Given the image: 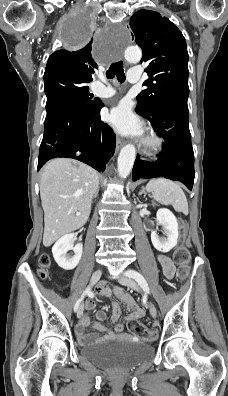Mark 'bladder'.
I'll return each instance as SVG.
<instances>
[{"instance_id": "1", "label": "bladder", "mask_w": 228, "mask_h": 396, "mask_svg": "<svg viewBox=\"0 0 228 396\" xmlns=\"http://www.w3.org/2000/svg\"><path fill=\"white\" fill-rule=\"evenodd\" d=\"M81 356L96 366L112 370H129L152 358L151 345L128 340L108 339L83 346Z\"/></svg>"}]
</instances>
